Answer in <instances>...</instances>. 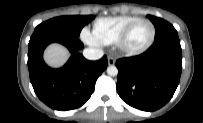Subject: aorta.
I'll list each match as a JSON object with an SVG mask.
<instances>
[{"mask_svg": "<svg viewBox=\"0 0 203 123\" xmlns=\"http://www.w3.org/2000/svg\"><path fill=\"white\" fill-rule=\"evenodd\" d=\"M107 74L110 75V76H116L118 74V69L116 66L114 65H110L108 68H107Z\"/></svg>", "mask_w": 203, "mask_h": 123, "instance_id": "1", "label": "aorta"}]
</instances>
